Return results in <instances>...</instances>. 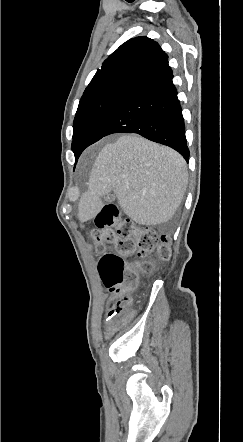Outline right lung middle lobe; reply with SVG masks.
Segmentation results:
<instances>
[{"instance_id": "1", "label": "right lung middle lobe", "mask_w": 243, "mask_h": 442, "mask_svg": "<svg viewBox=\"0 0 243 442\" xmlns=\"http://www.w3.org/2000/svg\"><path fill=\"white\" fill-rule=\"evenodd\" d=\"M129 93L118 91L80 101L73 123L72 151L75 154V162L88 146L91 137L101 122Z\"/></svg>"}]
</instances>
